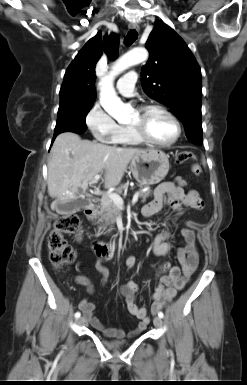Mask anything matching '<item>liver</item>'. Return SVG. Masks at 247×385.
<instances>
[{
	"instance_id": "1",
	"label": "liver",
	"mask_w": 247,
	"mask_h": 385,
	"mask_svg": "<svg viewBox=\"0 0 247 385\" xmlns=\"http://www.w3.org/2000/svg\"><path fill=\"white\" fill-rule=\"evenodd\" d=\"M141 151L82 140L73 132L59 134L48 163V194L56 198L51 209L78 199L79 189L85 191L99 173L105 174V188L117 186L130 160Z\"/></svg>"
}]
</instances>
